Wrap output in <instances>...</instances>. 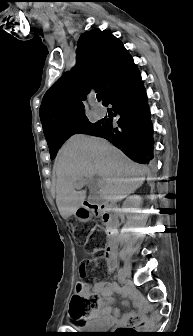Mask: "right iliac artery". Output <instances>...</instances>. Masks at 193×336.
I'll list each match as a JSON object with an SVG mask.
<instances>
[{
  "mask_svg": "<svg viewBox=\"0 0 193 336\" xmlns=\"http://www.w3.org/2000/svg\"><path fill=\"white\" fill-rule=\"evenodd\" d=\"M121 275H122V269H119V271H118V275H117L119 281L122 280Z\"/></svg>",
  "mask_w": 193,
  "mask_h": 336,
  "instance_id": "obj_1",
  "label": "right iliac artery"
}]
</instances>
